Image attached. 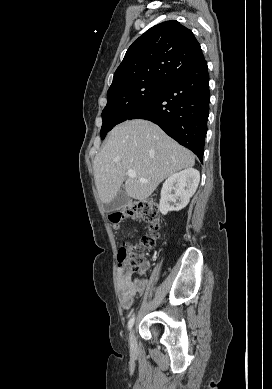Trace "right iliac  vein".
<instances>
[{
    "mask_svg": "<svg viewBox=\"0 0 272 389\" xmlns=\"http://www.w3.org/2000/svg\"><path fill=\"white\" fill-rule=\"evenodd\" d=\"M129 343L131 348H135L137 346L136 336L134 330H131L129 335Z\"/></svg>",
    "mask_w": 272,
    "mask_h": 389,
    "instance_id": "right-iliac-vein-1",
    "label": "right iliac vein"
}]
</instances>
